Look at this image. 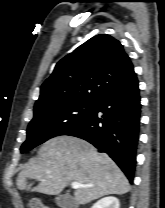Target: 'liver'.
Listing matches in <instances>:
<instances>
[{
	"label": "liver",
	"instance_id": "obj_1",
	"mask_svg": "<svg viewBox=\"0 0 165 208\" xmlns=\"http://www.w3.org/2000/svg\"><path fill=\"white\" fill-rule=\"evenodd\" d=\"M27 179L39 181L33 190L47 195L60 194L70 182L89 186L76 189L74 200L78 205L130 190L128 179L107 154L71 136H58L44 143L38 157L20 172L17 178L20 190L31 188Z\"/></svg>",
	"mask_w": 165,
	"mask_h": 208
}]
</instances>
